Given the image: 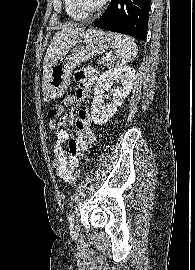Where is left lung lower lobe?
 <instances>
[{"label":"left lung lower lobe","instance_id":"0a47b994","mask_svg":"<svg viewBox=\"0 0 195 270\" xmlns=\"http://www.w3.org/2000/svg\"><path fill=\"white\" fill-rule=\"evenodd\" d=\"M151 0H111L106 11L94 21L96 27L140 40L147 37Z\"/></svg>","mask_w":195,"mask_h":270}]
</instances>
